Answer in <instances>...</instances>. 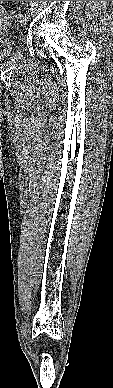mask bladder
<instances>
[{"label": "bladder", "instance_id": "bladder-1", "mask_svg": "<svg viewBox=\"0 0 113 388\" xmlns=\"http://www.w3.org/2000/svg\"><path fill=\"white\" fill-rule=\"evenodd\" d=\"M8 27L6 15H1L0 30ZM13 52V44L9 41L0 40V60L8 58Z\"/></svg>", "mask_w": 113, "mask_h": 388}]
</instances>
